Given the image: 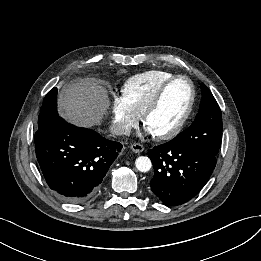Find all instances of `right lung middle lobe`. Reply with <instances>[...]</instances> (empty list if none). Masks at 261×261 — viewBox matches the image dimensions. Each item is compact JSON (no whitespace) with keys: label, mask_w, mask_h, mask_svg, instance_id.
<instances>
[{"label":"right lung middle lobe","mask_w":261,"mask_h":261,"mask_svg":"<svg viewBox=\"0 0 261 261\" xmlns=\"http://www.w3.org/2000/svg\"><path fill=\"white\" fill-rule=\"evenodd\" d=\"M56 117H58L57 89L53 88L44 98L38 118V130L45 128Z\"/></svg>","instance_id":"1"}]
</instances>
